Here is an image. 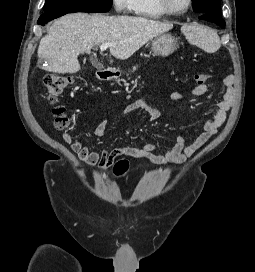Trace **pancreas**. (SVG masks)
Returning <instances> with one entry per match:
<instances>
[{
	"instance_id": "cf45deb5",
	"label": "pancreas",
	"mask_w": 255,
	"mask_h": 272,
	"mask_svg": "<svg viewBox=\"0 0 255 272\" xmlns=\"http://www.w3.org/2000/svg\"><path fill=\"white\" fill-rule=\"evenodd\" d=\"M136 69H137V66H134L131 72H134Z\"/></svg>"
}]
</instances>
